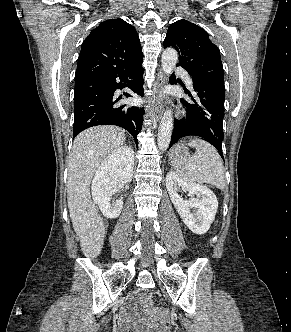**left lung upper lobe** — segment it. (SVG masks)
Returning <instances> with one entry per match:
<instances>
[{
  "label": "left lung upper lobe",
  "instance_id": "obj_1",
  "mask_svg": "<svg viewBox=\"0 0 291 332\" xmlns=\"http://www.w3.org/2000/svg\"><path fill=\"white\" fill-rule=\"evenodd\" d=\"M173 47L179 53L178 66L192 78H213L224 81L220 51L207 32L187 21L178 20L168 28L164 48Z\"/></svg>",
  "mask_w": 291,
  "mask_h": 332
}]
</instances>
